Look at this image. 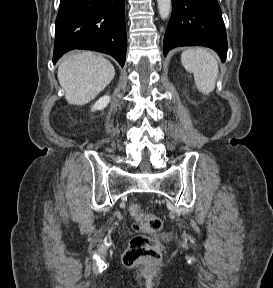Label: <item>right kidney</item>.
I'll return each mask as SVG.
<instances>
[{"label":"right kidney","instance_id":"ca27d5eb","mask_svg":"<svg viewBox=\"0 0 273 288\" xmlns=\"http://www.w3.org/2000/svg\"><path fill=\"white\" fill-rule=\"evenodd\" d=\"M110 102V96L105 95L101 97L99 100L96 101V103L92 107V111L95 110H103L105 107H107L108 103Z\"/></svg>","mask_w":273,"mask_h":288}]
</instances>
